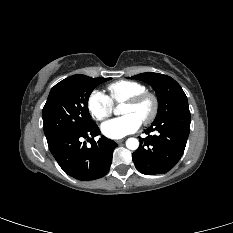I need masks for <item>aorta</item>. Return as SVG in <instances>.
Masks as SVG:
<instances>
[{
	"mask_svg": "<svg viewBox=\"0 0 233 233\" xmlns=\"http://www.w3.org/2000/svg\"><path fill=\"white\" fill-rule=\"evenodd\" d=\"M115 114H118V110H115ZM126 147L129 150H136L139 147V141L136 138H128L126 140Z\"/></svg>",
	"mask_w": 233,
	"mask_h": 233,
	"instance_id": "obj_1",
	"label": "aorta"
}]
</instances>
